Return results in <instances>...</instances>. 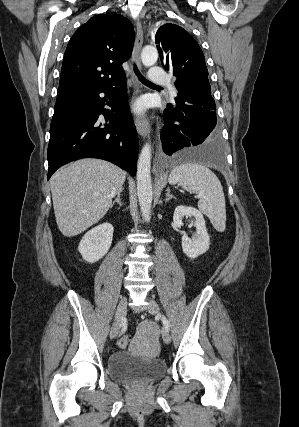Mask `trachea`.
Segmentation results:
<instances>
[{
  "mask_svg": "<svg viewBox=\"0 0 299 427\" xmlns=\"http://www.w3.org/2000/svg\"><path fill=\"white\" fill-rule=\"evenodd\" d=\"M134 72L142 83L153 84L152 82H150L149 80H147L145 77L142 76V74L140 73V71L138 70L135 64H134Z\"/></svg>",
  "mask_w": 299,
  "mask_h": 427,
  "instance_id": "1",
  "label": "trachea"
}]
</instances>
